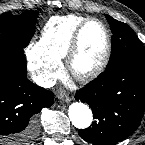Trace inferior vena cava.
I'll list each match as a JSON object with an SVG mask.
<instances>
[{
  "label": "inferior vena cava",
  "mask_w": 145,
  "mask_h": 145,
  "mask_svg": "<svg viewBox=\"0 0 145 145\" xmlns=\"http://www.w3.org/2000/svg\"><path fill=\"white\" fill-rule=\"evenodd\" d=\"M34 82L41 87H51L54 85V82L47 81L42 74H38L34 77Z\"/></svg>",
  "instance_id": "obj_1"
}]
</instances>
